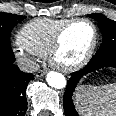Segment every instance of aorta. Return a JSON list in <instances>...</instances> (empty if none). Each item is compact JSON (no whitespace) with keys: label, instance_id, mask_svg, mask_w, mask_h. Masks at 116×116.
<instances>
[{"label":"aorta","instance_id":"obj_1","mask_svg":"<svg viewBox=\"0 0 116 116\" xmlns=\"http://www.w3.org/2000/svg\"><path fill=\"white\" fill-rule=\"evenodd\" d=\"M47 83L56 89H62L66 86V79L63 74L51 71L46 76Z\"/></svg>","mask_w":116,"mask_h":116}]
</instances>
